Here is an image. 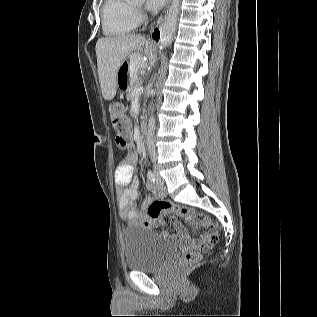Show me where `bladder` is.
I'll use <instances>...</instances> for the list:
<instances>
[{"label":"bladder","instance_id":"31cf9c89","mask_svg":"<svg viewBox=\"0 0 317 317\" xmlns=\"http://www.w3.org/2000/svg\"><path fill=\"white\" fill-rule=\"evenodd\" d=\"M179 246L174 239L159 237L144 226L124 231L125 266L133 271H155L174 258Z\"/></svg>","mask_w":317,"mask_h":317}]
</instances>
